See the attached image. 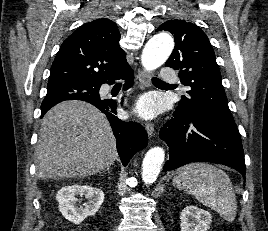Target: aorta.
<instances>
[{
  "label": "aorta",
  "instance_id": "aorta-1",
  "mask_svg": "<svg viewBox=\"0 0 268 231\" xmlns=\"http://www.w3.org/2000/svg\"><path fill=\"white\" fill-rule=\"evenodd\" d=\"M174 48L173 38L167 33L153 36L145 45L141 62L147 71L160 67ZM165 152L161 147H153L145 154L142 162V180L145 184L154 183L164 162Z\"/></svg>",
  "mask_w": 268,
  "mask_h": 231
}]
</instances>
